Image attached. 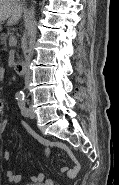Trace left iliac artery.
Returning <instances> with one entry per match:
<instances>
[{"mask_svg": "<svg viewBox=\"0 0 119 185\" xmlns=\"http://www.w3.org/2000/svg\"><path fill=\"white\" fill-rule=\"evenodd\" d=\"M18 106H19V108L21 110V114L23 116H27L28 109L26 108L25 99L24 98L18 100Z\"/></svg>", "mask_w": 119, "mask_h": 185, "instance_id": "1", "label": "left iliac artery"}]
</instances>
